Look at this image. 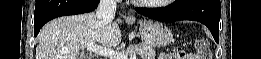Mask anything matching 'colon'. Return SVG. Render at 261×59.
<instances>
[{"label": "colon", "instance_id": "5ec220e1", "mask_svg": "<svg viewBox=\"0 0 261 59\" xmlns=\"http://www.w3.org/2000/svg\"><path fill=\"white\" fill-rule=\"evenodd\" d=\"M198 56L190 57L186 54L181 48H175L171 51L170 55L174 59H191V58H199V59H208L209 58V47L208 45L200 41L196 45Z\"/></svg>", "mask_w": 261, "mask_h": 59}]
</instances>
